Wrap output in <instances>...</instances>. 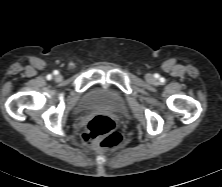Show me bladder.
<instances>
[{
	"instance_id": "obj_1",
	"label": "bladder",
	"mask_w": 222,
	"mask_h": 187,
	"mask_svg": "<svg viewBox=\"0 0 222 187\" xmlns=\"http://www.w3.org/2000/svg\"><path fill=\"white\" fill-rule=\"evenodd\" d=\"M126 105L125 97L118 90L107 86H94L83 93L77 103L76 111L86 112L104 108L123 112Z\"/></svg>"
}]
</instances>
